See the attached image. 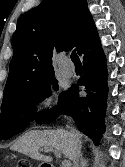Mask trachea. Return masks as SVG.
I'll list each match as a JSON object with an SVG mask.
<instances>
[{
    "label": "trachea",
    "instance_id": "3493384b",
    "mask_svg": "<svg viewBox=\"0 0 125 167\" xmlns=\"http://www.w3.org/2000/svg\"><path fill=\"white\" fill-rule=\"evenodd\" d=\"M71 60L73 61V63L75 65H81V61L76 53L75 50L72 51V54H71Z\"/></svg>",
    "mask_w": 125,
    "mask_h": 167
}]
</instances>
